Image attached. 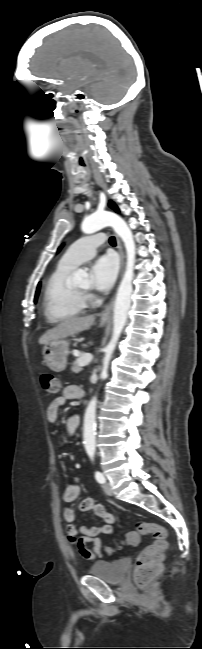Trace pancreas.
<instances>
[{"label":"pancreas","instance_id":"1","mask_svg":"<svg viewBox=\"0 0 202 649\" xmlns=\"http://www.w3.org/2000/svg\"><path fill=\"white\" fill-rule=\"evenodd\" d=\"M82 356L85 354H81ZM72 372L74 373H80L82 371V367L79 365V359H77L71 368Z\"/></svg>","mask_w":202,"mask_h":649}]
</instances>
